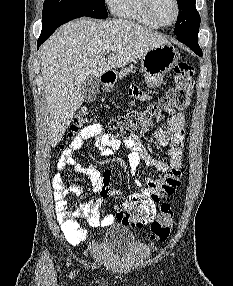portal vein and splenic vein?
Returning <instances> with one entry per match:
<instances>
[{
	"label": "portal vein and splenic vein",
	"instance_id": "1",
	"mask_svg": "<svg viewBox=\"0 0 233 286\" xmlns=\"http://www.w3.org/2000/svg\"><path fill=\"white\" fill-rule=\"evenodd\" d=\"M111 49H112V47L107 46V47L104 48V51H105V52H109Z\"/></svg>",
	"mask_w": 233,
	"mask_h": 286
}]
</instances>
